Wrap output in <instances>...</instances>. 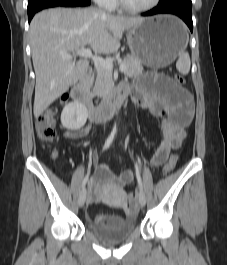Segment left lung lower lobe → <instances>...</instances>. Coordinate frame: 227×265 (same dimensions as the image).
Here are the masks:
<instances>
[{
	"label": "left lung lower lobe",
	"instance_id": "obj_1",
	"mask_svg": "<svg viewBox=\"0 0 227 265\" xmlns=\"http://www.w3.org/2000/svg\"><path fill=\"white\" fill-rule=\"evenodd\" d=\"M155 14H174L179 16L188 25L191 32L193 31L192 22V6L186 5H166L157 6L150 11L142 13L143 16H151Z\"/></svg>",
	"mask_w": 227,
	"mask_h": 265
}]
</instances>
